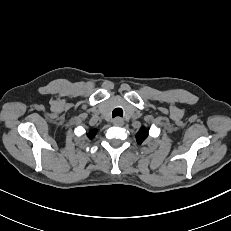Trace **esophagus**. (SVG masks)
<instances>
[{"label":"esophagus","instance_id":"1","mask_svg":"<svg viewBox=\"0 0 231 231\" xmlns=\"http://www.w3.org/2000/svg\"><path fill=\"white\" fill-rule=\"evenodd\" d=\"M113 124L116 126H123L124 125V120L120 117H117L113 120Z\"/></svg>","mask_w":231,"mask_h":231}]
</instances>
